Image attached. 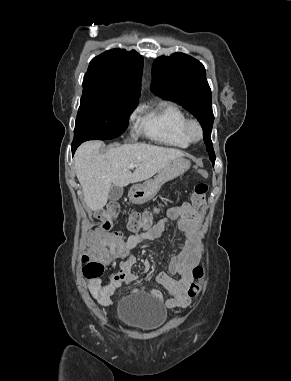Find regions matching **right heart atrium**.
I'll return each instance as SVG.
<instances>
[{"label":"right heart atrium","mask_w":291,"mask_h":381,"mask_svg":"<svg viewBox=\"0 0 291 381\" xmlns=\"http://www.w3.org/2000/svg\"><path fill=\"white\" fill-rule=\"evenodd\" d=\"M135 114L133 113L131 116H130V120H132L134 118Z\"/></svg>","instance_id":"d8ad5b80"}]
</instances>
